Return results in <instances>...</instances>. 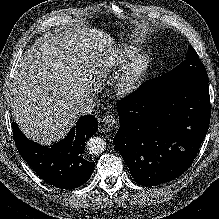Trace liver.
Here are the masks:
<instances>
[{
    "label": "liver",
    "mask_w": 219,
    "mask_h": 219,
    "mask_svg": "<svg viewBox=\"0 0 219 219\" xmlns=\"http://www.w3.org/2000/svg\"><path fill=\"white\" fill-rule=\"evenodd\" d=\"M112 45L103 31L76 25L44 37L22 55L10 100L27 137L43 145L65 137L78 118L75 104L96 90L102 72L95 67Z\"/></svg>",
    "instance_id": "1"
}]
</instances>
